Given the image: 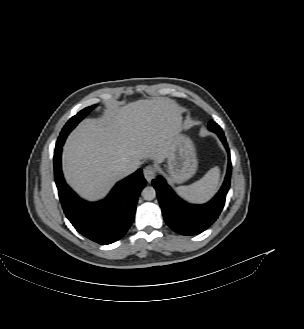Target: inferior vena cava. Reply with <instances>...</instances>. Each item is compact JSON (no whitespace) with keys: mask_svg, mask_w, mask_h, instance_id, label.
<instances>
[{"mask_svg":"<svg viewBox=\"0 0 304 329\" xmlns=\"http://www.w3.org/2000/svg\"><path fill=\"white\" fill-rule=\"evenodd\" d=\"M135 169V165L131 163H123L119 166V171L122 174L131 173Z\"/></svg>","mask_w":304,"mask_h":329,"instance_id":"obj_1","label":"inferior vena cava"}]
</instances>
